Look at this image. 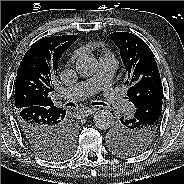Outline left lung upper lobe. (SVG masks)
I'll list each match as a JSON object with an SVG mask.
<instances>
[{"mask_svg":"<svg viewBox=\"0 0 184 184\" xmlns=\"http://www.w3.org/2000/svg\"><path fill=\"white\" fill-rule=\"evenodd\" d=\"M110 38L119 47L127 70L129 101L137 108L153 98H163L159 70L149 46L129 32H114ZM148 121L138 123L134 118H120L108 133L112 150L120 156H133L147 149L159 130L161 113Z\"/></svg>","mask_w":184,"mask_h":184,"instance_id":"1","label":"left lung upper lobe"}]
</instances>
